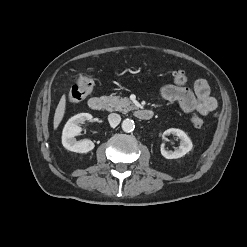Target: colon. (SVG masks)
I'll use <instances>...</instances> for the list:
<instances>
[{
	"label": "colon",
	"instance_id": "5ec220e1",
	"mask_svg": "<svg viewBox=\"0 0 247 247\" xmlns=\"http://www.w3.org/2000/svg\"><path fill=\"white\" fill-rule=\"evenodd\" d=\"M173 80L176 85L183 86L187 82V77L183 71H175L173 73ZM93 85L94 83L91 78L79 75L68 94L69 100L74 103L84 100L91 93ZM191 122L196 128L203 126V120L197 115L191 117Z\"/></svg>",
	"mask_w": 247,
	"mask_h": 247
}]
</instances>
